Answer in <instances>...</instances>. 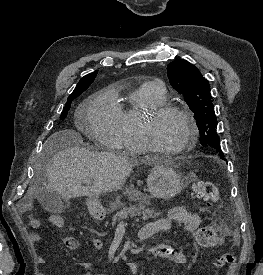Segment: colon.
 Segmentation results:
<instances>
[{
    "label": "colon",
    "instance_id": "obj_1",
    "mask_svg": "<svg viewBox=\"0 0 263 275\" xmlns=\"http://www.w3.org/2000/svg\"><path fill=\"white\" fill-rule=\"evenodd\" d=\"M193 191L198 198L203 199L207 204H216L220 201V193L217 186L211 181L198 180L193 185ZM59 216L53 217V222H60ZM198 242L203 247H214L223 241L222 234L213 226L202 228L198 233ZM234 262V256L230 253L222 254L215 261L218 268L225 267Z\"/></svg>",
    "mask_w": 263,
    "mask_h": 275
}]
</instances>
